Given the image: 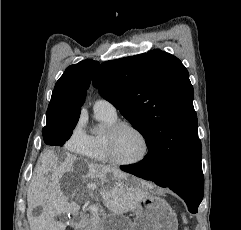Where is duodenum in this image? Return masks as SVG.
I'll return each mask as SVG.
<instances>
[{"label": "duodenum", "instance_id": "410a0bca", "mask_svg": "<svg viewBox=\"0 0 241 230\" xmlns=\"http://www.w3.org/2000/svg\"><path fill=\"white\" fill-rule=\"evenodd\" d=\"M83 220V216L82 215H75L71 221V227L72 228H77L79 227L80 223Z\"/></svg>", "mask_w": 241, "mask_h": 230}]
</instances>
